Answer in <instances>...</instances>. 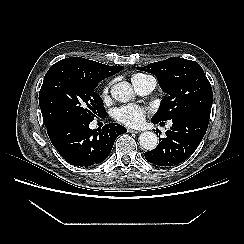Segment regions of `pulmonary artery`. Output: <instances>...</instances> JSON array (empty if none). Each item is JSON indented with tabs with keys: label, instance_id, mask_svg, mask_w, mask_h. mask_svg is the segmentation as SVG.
<instances>
[{
	"label": "pulmonary artery",
	"instance_id": "pulmonary-artery-1",
	"mask_svg": "<svg viewBox=\"0 0 244 244\" xmlns=\"http://www.w3.org/2000/svg\"><path fill=\"white\" fill-rule=\"evenodd\" d=\"M133 85L138 94L145 96L153 91L156 81L152 76L145 75Z\"/></svg>",
	"mask_w": 244,
	"mask_h": 244
}]
</instances>
